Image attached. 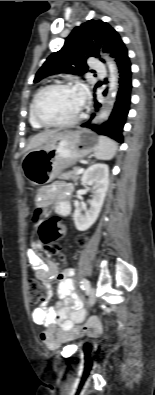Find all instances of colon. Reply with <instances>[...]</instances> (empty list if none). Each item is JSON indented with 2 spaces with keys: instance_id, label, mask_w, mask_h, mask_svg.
I'll use <instances>...</instances> for the list:
<instances>
[{
  "instance_id": "obj_1",
  "label": "colon",
  "mask_w": 155,
  "mask_h": 395,
  "mask_svg": "<svg viewBox=\"0 0 155 395\" xmlns=\"http://www.w3.org/2000/svg\"><path fill=\"white\" fill-rule=\"evenodd\" d=\"M41 211L38 209L35 213V220H39ZM58 222H62V215H49L48 220L41 222L40 228H37V235H40L44 249L49 252L50 256L66 257V250L58 249L60 233L63 231ZM68 271L72 270L71 266L67 267ZM29 302L32 305L44 302L47 298L45 288L36 280L28 281Z\"/></svg>"
}]
</instances>
